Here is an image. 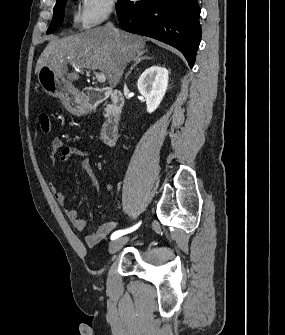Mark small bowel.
Listing matches in <instances>:
<instances>
[{"label": "small bowel", "mask_w": 285, "mask_h": 335, "mask_svg": "<svg viewBox=\"0 0 285 335\" xmlns=\"http://www.w3.org/2000/svg\"><path fill=\"white\" fill-rule=\"evenodd\" d=\"M51 154L52 161L56 162L59 159L62 162H68L73 157L81 158L80 167L85 171L92 183L93 193L97 194V176L94 172L88 152L84 148L76 146H66L62 139L54 138L51 141ZM51 191L59 205L64 209L67 219L70 221L74 229L82 231L86 228V220L77 214V211L68 206V197L65 193L58 190L56 185H51ZM117 226L116 221L105 222L101 224L93 233L86 235L85 242L88 246H94L104 240Z\"/></svg>", "instance_id": "c3829d8e"}]
</instances>
